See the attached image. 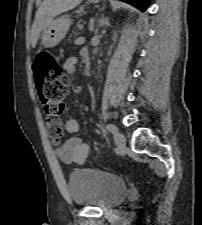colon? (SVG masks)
<instances>
[{
  "label": "colon",
  "mask_w": 202,
  "mask_h": 225,
  "mask_svg": "<svg viewBox=\"0 0 202 225\" xmlns=\"http://www.w3.org/2000/svg\"><path fill=\"white\" fill-rule=\"evenodd\" d=\"M39 101L45 114V125L53 143L58 145L64 135L61 125L62 102L69 90V80L60 61L44 53L33 63Z\"/></svg>",
  "instance_id": "colon-1"
}]
</instances>
